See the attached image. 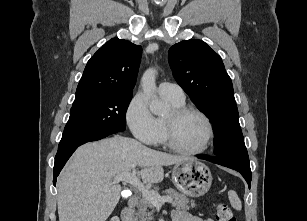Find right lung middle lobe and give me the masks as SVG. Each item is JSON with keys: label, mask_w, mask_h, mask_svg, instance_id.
Wrapping results in <instances>:
<instances>
[{"label": "right lung middle lobe", "mask_w": 307, "mask_h": 221, "mask_svg": "<svg viewBox=\"0 0 307 221\" xmlns=\"http://www.w3.org/2000/svg\"><path fill=\"white\" fill-rule=\"evenodd\" d=\"M132 93H110L73 103L58 149L126 129Z\"/></svg>", "instance_id": "obj_1"}]
</instances>
